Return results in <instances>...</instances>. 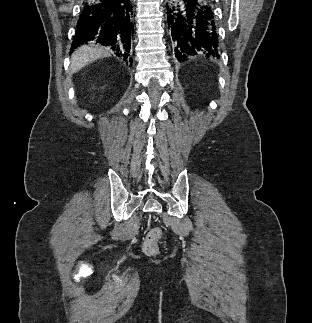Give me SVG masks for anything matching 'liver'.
Here are the masks:
<instances>
[{"label":"liver","mask_w":312,"mask_h":323,"mask_svg":"<svg viewBox=\"0 0 312 323\" xmlns=\"http://www.w3.org/2000/svg\"><path fill=\"white\" fill-rule=\"evenodd\" d=\"M109 48H90V46H81L71 56L70 72H79L81 68H85L90 62L98 60L101 56H108Z\"/></svg>","instance_id":"1"}]
</instances>
